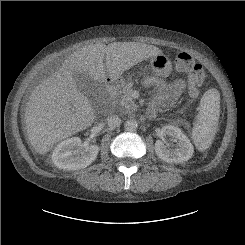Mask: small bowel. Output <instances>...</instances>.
<instances>
[{"label":"small bowel","instance_id":"c3829d8e","mask_svg":"<svg viewBox=\"0 0 245 245\" xmlns=\"http://www.w3.org/2000/svg\"><path fill=\"white\" fill-rule=\"evenodd\" d=\"M146 85L153 90V100L148 109V116L153 117L159 108H172L184 92V80L176 79L171 83L156 78L149 77L145 81Z\"/></svg>","mask_w":245,"mask_h":245}]
</instances>
